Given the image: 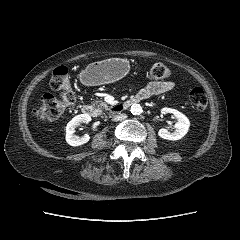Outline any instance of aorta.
Masks as SVG:
<instances>
[{
  "mask_svg": "<svg viewBox=\"0 0 240 240\" xmlns=\"http://www.w3.org/2000/svg\"><path fill=\"white\" fill-rule=\"evenodd\" d=\"M131 113L133 114V115H140L141 113H142V107H141V105H139V104H133L132 106H131Z\"/></svg>",
  "mask_w": 240,
  "mask_h": 240,
  "instance_id": "aorta-1",
  "label": "aorta"
}]
</instances>
